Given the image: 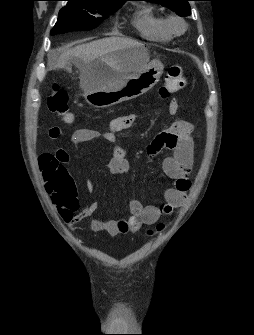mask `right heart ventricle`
<instances>
[{"label":"right heart ventricle","instance_id":"obj_1","mask_svg":"<svg viewBox=\"0 0 254 335\" xmlns=\"http://www.w3.org/2000/svg\"><path fill=\"white\" fill-rule=\"evenodd\" d=\"M166 19L148 6L140 7L133 15L132 24L145 39L155 42H168L172 34L168 31Z\"/></svg>","mask_w":254,"mask_h":335}]
</instances>
